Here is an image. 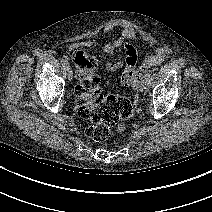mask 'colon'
Masks as SVG:
<instances>
[{
    "mask_svg": "<svg viewBox=\"0 0 212 212\" xmlns=\"http://www.w3.org/2000/svg\"><path fill=\"white\" fill-rule=\"evenodd\" d=\"M76 73V91L78 93L79 115L91 122L86 135L98 142L107 140L113 133H121L132 114V105L124 96L103 94L97 75V59L83 51L73 55ZM125 86H132L134 81L122 76Z\"/></svg>",
    "mask_w": 212,
    "mask_h": 212,
    "instance_id": "obj_1",
    "label": "colon"
}]
</instances>
